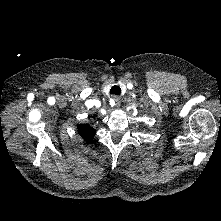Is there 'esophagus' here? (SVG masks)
<instances>
[{
	"label": "esophagus",
	"instance_id": "obj_1",
	"mask_svg": "<svg viewBox=\"0 0 221 221\" xmlns=\"http://www.w3.org/2000/svg\"><path fill=\"white\" fill-rule=\"evenodd\" d=\"M116 105H120L121 98L119 96H113Z\"/></svg>",
	"mask_w": 221,
	"mask_h": 221
}]
</instances>
